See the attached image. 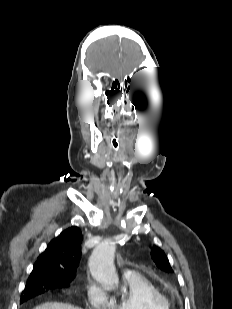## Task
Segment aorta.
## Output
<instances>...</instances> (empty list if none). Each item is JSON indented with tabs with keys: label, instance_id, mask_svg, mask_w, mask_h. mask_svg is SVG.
<instances>
[{
	"label": "aorta",
	"instance_id": "obj_1",
	"mask_svg": "<svg viewBox=\"0 0 232 309\" xmlns=\"http://www.w3.org/2000/svg\"><path fill=\"white\" fill-rule=\"evenodd\" d=\"M115 249L112 240H104L93 250L89 259L91 275L107 287L115 286L119 281L113 264Z\"/></svg>",
	"mask_w": 232,
	"mask_h": 309
}]
</instances>
